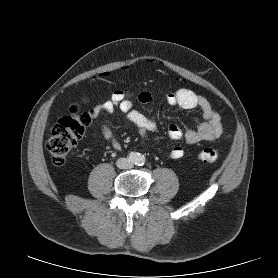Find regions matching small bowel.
Masks as SVG:
<instances>
[{
	"label": "small bowel",
	"instance_id": "obj_1",
	"mask_svg": "<svg viewBox=\"0 0 278 278\" xmlns=\"http://www.w3.org/2000/svg\"><path fill=\"white\" fill-rule=\"evenodd\" d=\"M106 77V73H101L96 78L104 79ZM135 99L140 103L148 104L152 101V95L147 90H141L135 95ZM164 99L169 105L177 106L184 110L199 109L204 118V122L197 128L187 129L186 131H183L176 124H171L168 128L170 139L180 140L184 138L187 143L196 144L202 141H214L221 136L223 131L221 116L206 97L188 88H179L174 91H166ZM102 112L110 114L116 112L123 113L137 127L138 133L142 138H147L157 128L154 121L148 119L134 108V97L129 91L122 89L114 91L109 100L96 106L91 111L92 119H96ZM102 132L104 138L111 143L115 150L121 149L120 142L107 125L102 126ZM183 155L184 149L181 146H174L170 150V157L172 159H180Z\"/></svg>",
	"mask_w": 278,
	"mask_h": 278
}]
</instances>
